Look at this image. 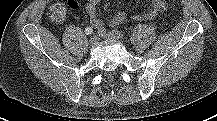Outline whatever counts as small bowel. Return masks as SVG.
I'll return each mask as SVG.
<instances>
[{
    "instance_id": "obj_1",
    "label": "small bowel",
    "mask_w": 217,
    "mask_h": 121,
    "mask_svg": "<svg viewBox=\"0 0 217 121\" xmlns=\"http://www.w3.org/2000/svg\"><path fill=\"white\" fill-rule=\"evenodd\" d=\"M102 0H88L86 3V11L90 17V24L92 28L101 31L104 29L103 22L97 16V6ZM68 5L71 9L78 6L76 0H69ZM166 8L165 0H152V8L145 14H136L133 16L134 20H150L153 19L159 12ZM127 19L125 12L119 11L110 20V25L115 27L124 23Z\"/></svg>"
}]
</instances>
